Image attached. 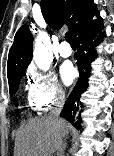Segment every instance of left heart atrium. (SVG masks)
<instances>
[{"label": "left heart atrium", "mask_w": 114, "mask_h": 156, "mask_svg": "<svg viewBox=\"0 0 114 156\" xmlns=\"http://www.w3.org/2000/svg\"><path fill=\"white\" fill-rule=\"evenodd\" d=\"M76 71L72 64L65 63L61 67V76L65 84L69 85L72 83L73 79L75 78Z\"/></svg>", "instance_id": "obj_1"}]
</instances>
